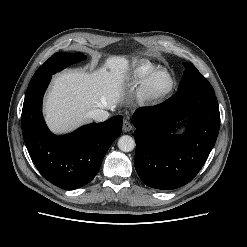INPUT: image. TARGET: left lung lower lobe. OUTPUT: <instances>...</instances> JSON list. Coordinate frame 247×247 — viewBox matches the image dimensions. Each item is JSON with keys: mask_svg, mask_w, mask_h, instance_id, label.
Listing matches in <instances>:
<instances>
[{"mask_svg": "<svg viewBox=\"0 0 247 247\" xmlns=\"http://www.w3.org/2000/svg\"><path fill=\"white\" fill-rule=\"evenodd\" d=\"M135 169L144 184L172 190L189 183L205 164L217 139L220 113L213 88L180 89L152 108H138ZM188 122L182 135L175 129Z\"/></svg>", "mask_w": 247, "mask_h": 247, "instance_id": "obj_1", "label": "left lung lower lobe"}]
</instances>
